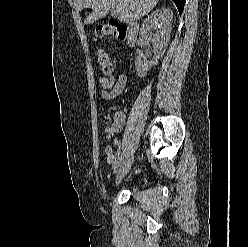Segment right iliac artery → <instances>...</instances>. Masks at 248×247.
Returning a JSON list of instances; mask_svg holds the SVG:
<instances>
[{
	"label": "right iliac artery",
	"instance_id": "right-iliac-artery-1",
	"mask_svg": "<svg viewBox=\"0 0 248 247\" xmlns=\"http://www.w3.org/2000/svg\"><path fill=\"white\" fill-rule=\"evenodd\" d=\"M124 156H125V154H124V153H122V154H121V157H120V159H119V161H118V165H117V167H120V166H121V164L123 163Z\"/></svg>",
	"mask_w": 248,
	"mask_h": 247
}]
</instances>
